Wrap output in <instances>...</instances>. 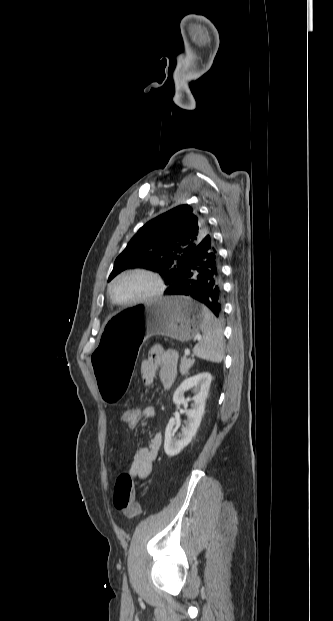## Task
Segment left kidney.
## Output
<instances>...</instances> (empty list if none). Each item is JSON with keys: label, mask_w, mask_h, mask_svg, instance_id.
Here are the masks:
<instances>
[{"label": "left kidney", "mask_w": 333, "mask_h": 621, "mask_svg": "<svg viewBox=\"0 0 333 621\" xmlns=\"http://www.w3.org/2000/svg\"><path fill=\"white\" fill-rule=\"evenodd\" d=\"M211 380V374L200 373L196 376L185 379L175 390L173 395V402L175 405L183 404L184 407L187 408L189 400H192L193 403L191 404V409H186L185 411L187 421L186 426L181 430L182 437L180 440H176L173 437L175 419L171 418L166 426L164 450L168 456L172 457L180 453L181 450L191 442L192 437L196 434L204 414L205 401L208 396ZM192 388H194L195 396L186 399L184 396L185 392Z\"/></svg>", "instance_id": "1"}]
</instances>
